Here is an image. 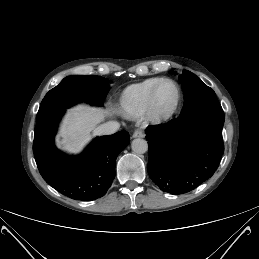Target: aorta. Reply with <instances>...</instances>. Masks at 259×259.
<instances>
[{
	"label": "aorta",
	"mask_w": 259,
	"mask_h": 259,
	"mask_svg": "<svg viewBox=\"0 0 259 259\" xmlns=\"http://www.w3.org/2000/svg\"><path fill=\"white\" fill-rule=\"evenodd\" d=\"M131 148L136 154H144L148 150V143L144 139L137 138L132 141Z\"/></svg>",
	"instance_id": "762f6f07"
}]
</instances>
